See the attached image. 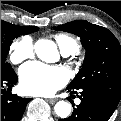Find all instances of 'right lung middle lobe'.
Here are the masks:
<instances>
[{"label": "right lung middle lobe", "instance_id": "obj_1", "mask_svg": "<svg viewBox=\"0 0 121 121\" xmlns=\"http://www.w3.org/2000/svg\"><path fill=\"white\" fill-rule=\"evenodd\" d=\"M38 30V27L17 26L1 20V71L11 70L12 67L6 63L12 41L20 35L30 34Z\"/></svg>", "mask_w": 121, "mask_h": 121}]
</instances>
